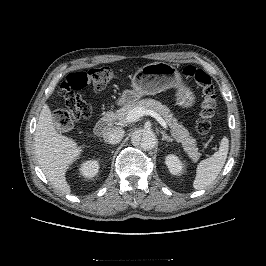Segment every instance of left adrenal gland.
<instances>
[{
	"label": "left adrenal gland",
	"instance_id": "obj_1",
	"mask_svg": "<svg viewBox=\"0 0 266 266\" xmlns=\"http://www.w3.org/2000/svg\"><path fill=\"white\" fill-rule=\"evenodd\" d=\"M160 133L162 134V141H166V142H172L173 139L168 136L164 131H160Z\"/></svg>",
	"mask_w": 266,
	"mask_h": 266
}]
</instances>
